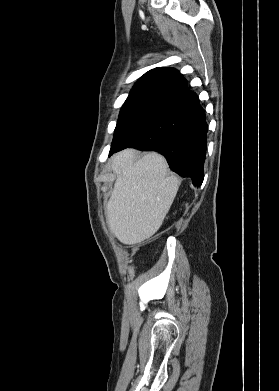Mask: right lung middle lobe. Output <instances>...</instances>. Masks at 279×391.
Here are the masks:
<instances>
[{
  "label": "right lung middle lobe",
  "mask_w": 279,
  "mask_h": 391,
  "mask_svg": "<svg viewBox=\"0 0 279 391\" xmlns=\"http://www.w3.org/2000/svg\"><path fill=\"white\" fill-rule=\"evenodd\" d=\"M161 109L157 107H139L121 110L110 152L125 145L146 129Z\"/></svg>",
  "instance_id": "right-lung-middle-lobe-1"
}]
</instances>
